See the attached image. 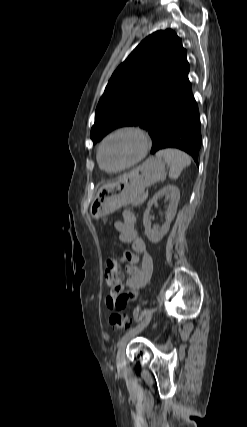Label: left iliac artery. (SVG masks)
I'll return each instance as SVG.
<instances>
[{
    "label": "left iliac artery",
    "mask_w": 247,
    "mask_h": 427,
    "mask_svg": "<svg viewBox=\"0 0 247 427\" xmlns=\"http://www.w3.org/2000/svg\"><path fill=\"white\" fill-rule=\"evenodd\" d=\"M149 320V316L148 317H146V319H144L142 322H140L137 326H135V327H133V328H131V329H129L127 332H126V334L122 337V339H121V341L124 339V338H126V337H128V336H130L134 331H136V330H138V329H141L146 323H147V321Z\"/></svg>",
    "instance_id": "obj_1"
}]
</instances>
